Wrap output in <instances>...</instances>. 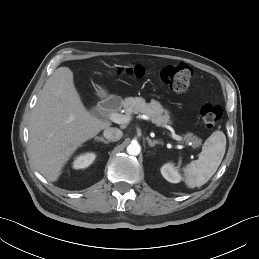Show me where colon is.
<instances>
[{"label":"colon","instance_id":"5ec220e1","mask_svg":"<svg viewBox=\"0 0 259 259\" xmlns=\"http://www.w3.org/2000/svg\"><path fill=\"white\" fill-rule=\"evenodd\" d=\"M122 72L128 76L141 78L145 74L142 66H126ZM192 70L189 66L179 64L175 66H167L160 71V79L171 90L176 92L184 91L190 84ZM201 119L208 128L214 127L222 116V109L219 105L205 104L200 111Z\"/></svg>","mask_w":259,"mask_h":259}]
</instances>
